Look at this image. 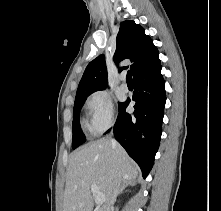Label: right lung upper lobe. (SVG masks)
Listing matches in <instances>:
<instances>
[{
	"label": "right lung upper lobe",
	"instance_id": "right-lung-upper-lobe-1",
	"mask_svg": "<svg viewBox=\"0 0 221 211\" xmlns=\"http://www.w3.org/2000/svg\"><path fill=\"white\" fill-rule=\"evenodd\" d=\"M158 50L144 29L134 21H123L117 34V47L113 56L117 64L124 59L132 63L133 78L160 63ZM124 67L120 68V71ZM107 88V68L103 55L96 57L86 67L78 86L76 98Z\"/></svg>",
	"mask_w": 221,
	"mask_h": 211
}]
</instances>
